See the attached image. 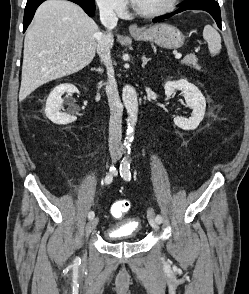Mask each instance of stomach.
<instances>
[{
	"instance_id": "1",
	"label": "stomach",
	"mask_w": 249,
	"mask_h": 294,
	"mask_svg": "<svg viewBox=\"0 0 249 294\" xmlns=\"http://www.w3.org/2000/svg\"><path fill=\"white\" fill-rule=\"evenodd\" d=\"M131 35L137 40L151 41L168 49L181 47L185 39L177 27L167 23L156 24L139 32H133Z\"/></svg>"
}]
</instances>
